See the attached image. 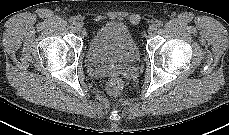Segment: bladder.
Wrapping results in <instances>:
<instances>
[{
  "mask_svg": "<svg viewBox=\"0 0 229 135\" xmlns=\"http://www.w3.org/2000/svg\"><path fill=\"white\" fill-rule=\"evenodd\" d=\"M88 59L94 64H134L140 58L139 48L126 25L108 22L91 37L87 47Z\"/></svg>",
  "mask_w": 229,
  "mask_h": 135,
  "instance_id": "1",
  "label": "bladder"
}]
</instances>
